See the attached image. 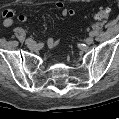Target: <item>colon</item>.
<instances>
[{
  "label": "colon",
  "mask_w": 119,
  "mask_h": 119,
  "mask_svg": "<svg viewBox=\"0 0 119 119\" xmlns=\"http://www.w3.org/2000/svg\"><path fill=\"white\" fill-rule=\"evenodd\" d=\"M111 14L112 11L109 7H102L97 11L95 17L98 20L107 21L111 17Z\"/></svg>",
  "instance_id": "colon-1"
}]
</instances>
